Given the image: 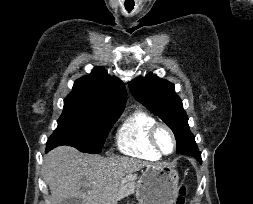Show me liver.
Wrapping results in <instances>:
<instances>
[{
	"label": "liver",
	"mask_w": 253,
	"mask_h": 204,
	"mask_svg": "<svg viewBox=\"0 0 253 204\" xmlns=\"http://www.w3.org/2000/svg\"><path fill=\"white\" fill-rule=\"evenodd\" d=\"M149 163L131 157H101L60 146L44 158L51 204L80 197L82 204H116L119 182Z\"/></svg>",
	"instance_id": "1"
}]
</instances>
